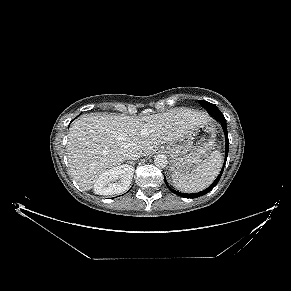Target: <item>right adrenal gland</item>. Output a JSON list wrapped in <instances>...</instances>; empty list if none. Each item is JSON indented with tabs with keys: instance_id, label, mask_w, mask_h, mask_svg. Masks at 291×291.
I'll list each match as a JSON object with an SVG mask.
<instances>
[{
	"instance_id": "right-adrenal-gland-1",
	"label": "right adrenal gland",
	"mask_w": 291,
	"mask_h": 291,
	"mask_svg": "<svg viewBox=\"0 0 291 291\" xmlns=\"http://www.w3.org/2000/svg\"><path fill=\"white\" fill-rule=\"evenodd\" d=\"M128 163H129V164H134V162H131V161H129Z\"/></svg>"
}]
</instances>
